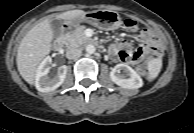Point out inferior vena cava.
<instances>
[{
  "mask_svg": "<svg viewBox=\"0 0 194 133\" xmlns=\"http://www.w3.org/2000/svg\"><path fill=\"white\" fill-rule=\"evenodd\" d=\"M82 55V50L79 48H69L66 52V57L68 59H77Z\"/></svg>",
  "mask_w": 194,
  "mask_h": 133,
  "instance_id": "1",
  "label": "inferior vena cava"
}]
</instances>
